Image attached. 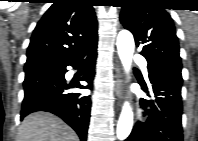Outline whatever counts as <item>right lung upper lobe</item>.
<instances>
[{"label": "right lung upper lobe", "mask_w": 198, "mask_h": 141, "mask_svg": "<svg viewBox=\"0 0 198 141\" xmlns=\"http://www.w3.org/2000/svg\"><path fill=\"white\" fill-rule=\"evenodd\" d=\"M97 38L89 0H56L33 31L25 72L68 61Z\"/></svg>", "instance_id": "1"}]
</instances>
